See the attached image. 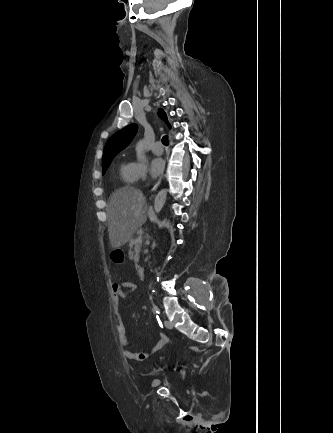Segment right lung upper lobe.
<instances>
[{"mask_svg": "<svg viewBox=\"0 0 333 433\" xmlns=\"http://www.w3.org/2000/svg\"><path fill=\"white\" fill-rule=\"evenodd\" d=\"M159 116L162 118L166 124L171 128V125L169 124L167 120V115L164 112L163 109H159ZM138 130L137 124H131L124 129L118 131L115 133L108 141V143L105 146L104 153H103V164L106 162L112 161L113 158L123 149H125L134 136L136 135Z\"/></svg>", "mask_w": 333, "mask_h": 433, "instance_id": "right-lung-upper-lobe-1", "label": "right lung upper lobe"}]
</instances>
